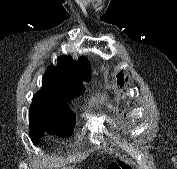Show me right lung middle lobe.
I'll use <instances>...</instances> for the list:
<instances>
[{"label": "right lung middle lobe", "mask_w": 177, "mask_h": 169, "mask_svg": "<svg viewBox=\"0 0 177 169\" xmlns=\"http://www.w3.org/2000/svg\"><path fill=\"white\" fill-rule=\"evenodd\" d=\"M68 102L31 106L29 113L30 137L41 139L45 132L56 133L61 137L71 135L75 117L67 107Z\"/></svg>", "instance_id": "1"}]
</instances>
